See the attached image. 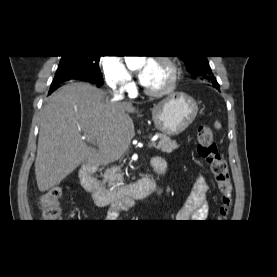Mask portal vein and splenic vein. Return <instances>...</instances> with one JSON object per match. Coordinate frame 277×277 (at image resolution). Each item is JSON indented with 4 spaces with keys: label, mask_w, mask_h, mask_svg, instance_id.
<instances>
[{
    "label": "portal vein and splenic vein",
    "mask_w": 277,
    "mask_h": 277,
    "mask_svg": "<svg viewBox=\"0 0 277 277\" xmlns=\"http://www.w3.org/2000/svg\"><path fill=\"white\" fill-rule=\"evenodd\" d=\"M156 138H153L152 140H151V143L148 145V147L149 148H152V147H154L155 145H156ZM91 144H93V145H95V142L94 141H89Z\"/></svg>",
    "instance_id": "obj_1"
}]
</instances>
